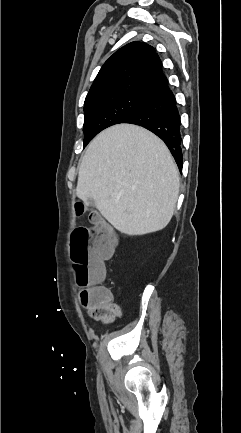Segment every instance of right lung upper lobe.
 <instances>
[{"label": "right lung upper lobe", "instance_id": "right-lung-upper-lobe-1", "mask_svg": "<svg viewBox=\"0 0 241 433\" xmlns=\"http://www.w3.org/2000/svg\"><path fill=\"white\" fill-rule=\"evenodd\" d=\"M168 83L154 48L132 42L116 51L102 66L85 102L119 93L149 94Z\"/></svg>", "mask_w": 241, "mask_h": 433}]
</instances>
